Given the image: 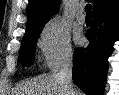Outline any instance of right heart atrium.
I'll return each mask as SVG.
<instances>
[{
  "mask_svg": "<svg viewBox=\"0 0 119 95\" xmlns=\"http://www.w3.org/2000/svg\"><path fill=\"white\" fill-rule=\"evenodd\" d=\"M37 45L45 65L51 70L69 61L73 55L69 28L59 19H51L44 25Z\"/></svg>",
  "mask_w": 119,
  "mask_h": 95,
  "instance_id": "right-heart-atrium-1",
  "label": "right heart atrium"
}]
</instances>
